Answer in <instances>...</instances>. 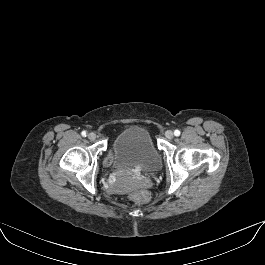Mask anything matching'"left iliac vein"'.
<instances>
[{"mask_svg":"<svg viewBox=\"0 0 265 265\" xmlns=\"http://www.w3.org/2000/svg\"><path fill=\"white\" fill-rule=\"evenodd\" d=\"M164 135L167 139H172L174 136V134L171 130H167Z\"/></svg>","mask_w":265,"mask_h":265,"instance_id":"4c4485c4","label":"left iliac vein"}]
</instances>
